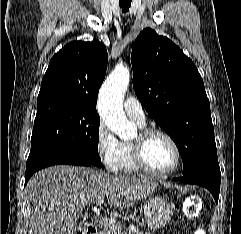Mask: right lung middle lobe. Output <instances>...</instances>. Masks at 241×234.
I'll list each match as a JSON object with an SVG mask.
<instances>
[{"label":"right lung middle lobe","mask_w":241,"mask_h":234,"mask_svg":"<svg viewBox=\"0 0 241 234\" xmlns=\"http://www.w3.org/2000/svg\"><path fill=\"white\" fill-rule=\"evenodd\" d=\"M99 125L97 111L64 104L37 106L31 153L51 146L66 147L101 167Z\"/></svg>","instance_id":"right-lung-middle-lobe-1"}]
</instances>
